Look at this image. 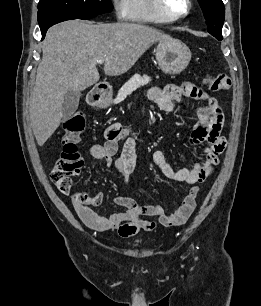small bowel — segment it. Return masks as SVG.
I'll return each mask as SVG.
<instances>
[{
	"mask_svg": "<svg viewBox=\"0 0 261 306\" xmlns=\"http://www.w3.org/2000/svg\"><path fill=\"white\" fill-rule=\"evenodd\" d=\"M149 97L164 112H172L175 105L183 102L184 97L203 102L197 109L199 121L191 133L190 141L194 145L205 143L204 161L191 168L175 170L168 163L163 151L156 150L152 156L153 161L167 178L192 185L179 208L172 214H166L161 205H143L133 198L117 196L116 204L124 207L125 211L106 217L97 214L88 206L89 204L74 201L73 206L78 217L92 230L99 232L116 230L121 237L128 238L140 230H153L157 223L164 227L185 223L196 207L199 192L197 184L205 181L219 162V155L225 148L226 139L221 135L224 117L215 99L192 83H186L181 87L171 86L163 90L153 88L149 92ZM105 138L104 144L91 146V156L106 165H114L123 177H127L133 171L137 157L136 141L131 130L114 123L106 128ZM121 142L123 144L118 154ZM97 196L101 199L99 194ZM148 218H156L157 223Z\"/></svg>",
	"mask_w": 261,
	"mask_h": 306,
	"instance_id": "c3829d8e",
	"label": "small bowel"
}]
</instances>
